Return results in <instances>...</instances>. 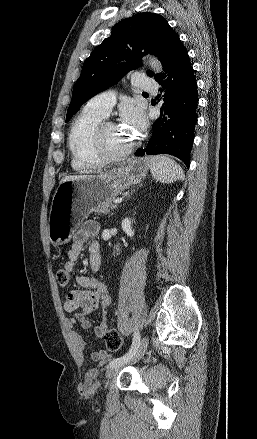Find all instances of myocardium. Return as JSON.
I'll use <instances>...</instances> for the list:
<instances>
[{
  "label": "myocardium",
  "instance_id": "obj_1",
  "mask_svg": "<svg viewBox=\"0 0 257 439\" xmlns=\"http://www.w3.org/2000/svg\"><path fill=\"white\" fill-rule=\"evenodd\" d=\"M107 125H116L115 123L109 122L105 124H101L98 126L95 138H94V145L96 152L100 158L101 161L104 162H113V161H119L127 157L131 151L133 150L135 144H130L129 146L125 147L119 152L111 153L105 145V139H104V129Z\"/></svg>",
  "mask_w": 257,
  "mask_h": 439
}]
</instances>
